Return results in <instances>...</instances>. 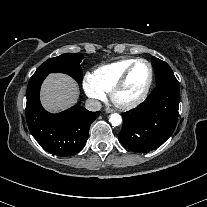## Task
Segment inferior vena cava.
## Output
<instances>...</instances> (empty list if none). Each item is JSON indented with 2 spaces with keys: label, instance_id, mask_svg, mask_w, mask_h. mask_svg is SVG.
<instances>
[{
  "label": "inferior vena cava",
  "instance_id": "1",
  "mask_svg": "<svg viewBox=\"0 0 207 207\" xmlns=\"http://www.w3.org/2000/svg\"><path fill=\"white\" fill-rule=\"evenodd\" d=\"M101 106V102L95 99H87L85 102L86 109L92 112L99 111Z\"/></svg>",
  "mask_w": 207,
  "mask_h": 207
}]
</instances>
